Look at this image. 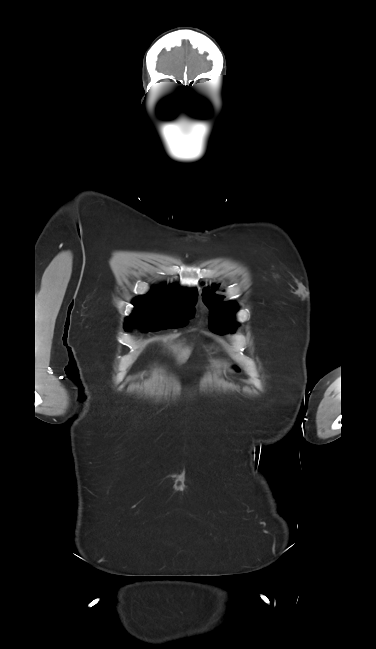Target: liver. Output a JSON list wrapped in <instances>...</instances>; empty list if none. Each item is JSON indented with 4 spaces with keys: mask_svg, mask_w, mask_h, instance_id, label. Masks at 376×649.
Masks as SVG:
<instances>
[{
    "mask_svg": "<svg viewBox=\"0 0 376 649\" xmlns=\"http://www.w3.org/2000/svg\"><path fill=\"white\" fill-rule=\"evenodd\" d=\"M171 350L176 356V359L179 363H185L191 354V348L183 347L182 344H175L170 346Z\"/></svg>",
    "mask_w": 376,
    "mask_h": 649,
    "instance_id": "obj_1",
    "label": "liver"
}]
</instances>
